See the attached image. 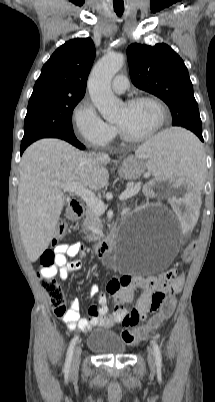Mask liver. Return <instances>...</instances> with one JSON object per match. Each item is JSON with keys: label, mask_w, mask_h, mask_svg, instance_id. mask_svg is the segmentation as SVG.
<instances>
[{"label": "liver", "mask_w": 215, "mask_h": 402, "mask_svg": "<svg viewBox=\"0 0 215 402\" xmlns=\"http://www.w3.org/2000/svg\"><path fill=\"white\" fill-rule=\"evenodd\" d=\"M109 162V158L79 151L59 139H41L25 150L20 162L17 215L31 262L48 248L63 209L64 196L56 184L78 182L90 191L100 190L109 179Z\"/></svg>", "instance_id": "obj_1"}]
</instances>
